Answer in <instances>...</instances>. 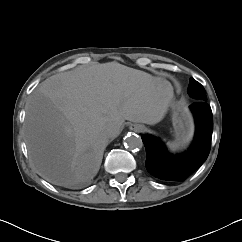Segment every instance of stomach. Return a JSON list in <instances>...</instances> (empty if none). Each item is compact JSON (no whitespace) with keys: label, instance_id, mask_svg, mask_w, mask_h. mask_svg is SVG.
Masks as SVG:
<instances>
[{"label":"stomach","instance_id":"0dacf381","mask_svg":"<svg viewBox=\"0 0 242 242\" xmlns=\"http://www.w3.org/2000/svg\"><path fill=\"white\" fill-rule=\"evenodd\" d=\"M171 111L175 136L172 147L175 149H182L189 143L192 137L193 122L187 109L179 102H172Z\"/></svg>","mask_w":242,"mask_h":242}]
</instances>
